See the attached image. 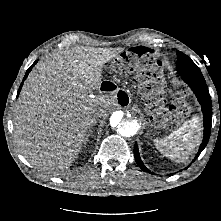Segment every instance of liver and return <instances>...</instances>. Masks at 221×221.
<instances>
[{"instance_id": "liver-1", "label": "liver", "mask_w": 221, "mask_h": 221, "mask_svg": "<svg viewBox=\"0 0 221 221\" xmlns=\"http://www.w3.org/2000/svg\"><path fill=\"white\" fill-rule=\"evenodd\" d=\"M122 48L78 47L46 56L29 74L14 116V136L24 157L44 168H69L88 132L113 103L91 96L99 89L104 65ZM100 119V118H99Z\"/></svg>"}]
</instances>
